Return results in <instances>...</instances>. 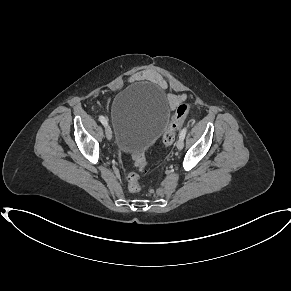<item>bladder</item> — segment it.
Segmentation results:
<instances>
[{"instance_id": "31cf9c89", "label": "bladder", "mask_w": 291, "mask_h": 291, "mask_svg": "<svg viewBox=\"0 0 291 291\" xmlns=\"http://www.w3.org/2000/svg\"><path fill=\"white\" fill-rule=\"evenodd\" d=\"M171 111L162 90L134 83L111 104L115 146L121 153H142L159 138Z\"/></svg>"}]
</instances>
